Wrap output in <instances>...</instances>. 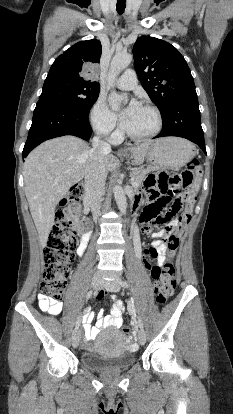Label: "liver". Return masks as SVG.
Returning <instances> with one entry per match:
<instances>
[{
  "instance_id": "liver-1",
  "label": "liver",
  "mask_w": 233,
  "mask_h": 414,
  "mask_svg": "<svg viewBox=\"0 0 233 414\" xmlns=\"http://www.w3.org/2000/svg\"><path fill=\"white\" fill-rule=\"evenodd\" d=\"M151 144L144 142L128 149L136 164L143 163ZM90 151L82 139L62 136L43 142L25 159V194L42 247L46 246L54 225L58 202L85 176ZM118 165L114 155H104L107 172Z\"/></svg>"
}]
</instances>
